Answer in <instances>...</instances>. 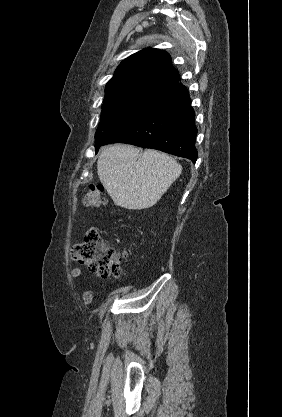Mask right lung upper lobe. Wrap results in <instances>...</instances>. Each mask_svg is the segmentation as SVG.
Returning a JSON list of instances; mask_svg holds the SVG:
<instances>
[{
	"instance_id": "right-lung-upper-lobe-1",
	"label": "right lung upper lobe",
	"mask_w": 282,
	"mask_h": 417,
	"mask_svg": "<svg viewBox=\"0 0 282 417\" xmlns=\"http://www.w3.org/2000/svg\"><path fill=\"white\" fill-rule=\"evenodd\" d=\"M179 81V73L172 66L170 55L147 48L122 61L107 83L105 93L142 91L160 94Z\"/></svg>"
}]
</instances>
